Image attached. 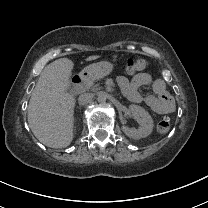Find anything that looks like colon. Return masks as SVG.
<instances>
[{"label":"colon","instance_id":"1","mask_svg":"<svg viewBox=\"0 0 208 208\" xmlns=\"http://www.w3.org/2000/svg\"><path fill=\"white\" fill-rule=\"evenodd\" d=\"M149 65L145 57L139 55H129L126 59V72L128 75H133L144 71ZM172 126V119L169 116L163 117L158 123L160 132H167Z\"/></svg>","mask_w":208,"mask_h":208}]
</instances>
